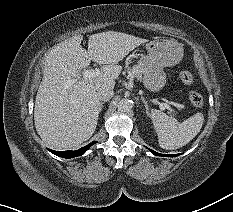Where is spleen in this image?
<instances>
[{"label": "spleen", "instance_id": "3e777b00", "mask_svg": "<svg viewBox=\"0 0 233 212\" xmlns=\"http://www.w3.org/2000/svg\"><path fill=\"white\" fill-rule=\"evenodd\" d=\"M150 118L158 135L159 146L175 150L189 143L201 130L204 116L198 112L181 123L157 109H151Z\"/></svg>", "mask_w": 233, "mask_h": 212}]
</instances>
